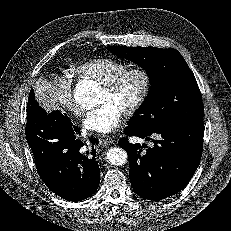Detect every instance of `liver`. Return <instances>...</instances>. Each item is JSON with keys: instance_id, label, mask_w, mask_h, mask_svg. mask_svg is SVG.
<instances>
[{"instance_id": "1", "label": "liver", "mask_w": 231, "mask_h": 231, "mask_svg": "<svg viewBox=\"0 0 231 231\" xmlns=\"http://www.w3.org/2000/svg\"><path fill=\"white\" fill-rule=\"evenodd\" d=\"M35 98L47 112L59 109L51 82L38 79L34 85Z\"/></svg>"}]
</instances>
